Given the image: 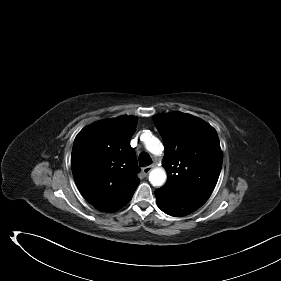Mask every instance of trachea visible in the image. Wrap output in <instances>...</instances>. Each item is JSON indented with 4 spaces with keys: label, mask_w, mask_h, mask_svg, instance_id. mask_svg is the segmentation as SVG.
<instances>
[{
    "label": "trachea",
    "mask_w": 281,
    "mask_h": 281,
    "mask_svg": "<svg viewBox=\"0 0 281 281\" xmlns=\"http://www.w3.org/2000/svg\"><path fill=\"white\" fill-rule=\"evenodd\" d=\"M152 163V159L147 152H142L139 155V165L141 167H146Z\"/></svg>",
    "instance_id": "trachea-1"
}]
</instances>
